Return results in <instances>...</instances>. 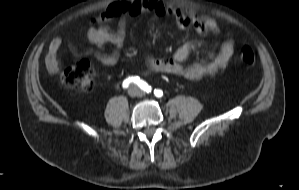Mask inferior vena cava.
Here are the masks:
<instances>
[{"instance_id":"obj_1","label":"inferior vena cava","mask_w":299,"mask_h":190,"mask_svg":"<svg viewBox=\"0 0 299 190\" xmlns=\"http://www.w3.org/2000/svg\"><path fill=\"white\" fill-rule=\"evenodd\" d=\"M139 95H140V96H142V95H143V92H142V91H140Z\"/></svg>"}]
</instances>
